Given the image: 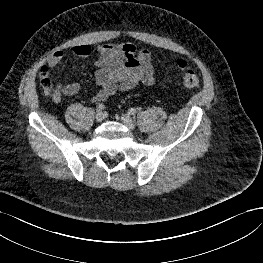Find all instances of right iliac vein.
<instances>
[{
    "label": "right iliac vein",
    "mask_w": 263,
    "mask_h": 263,
    "mask_svg": "<svg viewBox=\"0 0 263 263\" xmlns=\"http://www.w3.org/2000/svg\"><path fill=\"white\" fill-rule=\"evenodd\" d=\"M95 118L97 122H102L104 120V113L102 111H98Z\"/></svg>",
    "instance_id": "obj_1"
}]
</instances>
